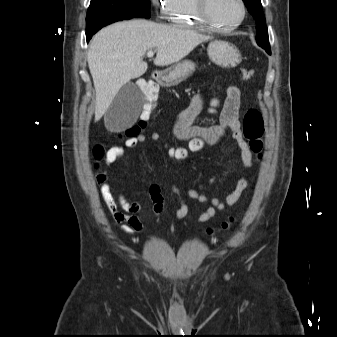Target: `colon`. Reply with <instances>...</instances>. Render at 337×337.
<instances>
[{"label":"colon","mask_w":337,"mask_h":337,"mask_svg":"<svg viewBox=\"0 0 337 337\" xmlns=\"http://www.w3.org/2000/svg\"><path fill=\"white\" fill-rule=\"evenodd\" d=\"M242 78L246 81L251 80L254 77V71L251 68H243L241 70ZM141 98H143L144 106L141 107L140 121L126 129L124 135L128 138L135 137L140 134L141 130L147 125V120L153 118V113H156V98H158V91H156L155 86L150 84H141L140 85ZM211 101H217L218 95L211 94ZM211 116L217 115L216 109L210 110ZM263 134H264V121L261 112L256 108L249 109L243 118V135L245 140L248 142L250 149L261 155L264 143H263ZM203 146L202 140H191L189 145L190 151H199L200 147ZM161 151H167L168 156H173L174 161H179L180 156L182 155L181 149H175L174 144H161ZM104 149L102 146L97 145L94 148V155L96 158H100L103 155ZM234 224V218H230L228 221H225L221 224L218 231H228ZM215 229H208L209 234H214Z\"/></svg>","instance_id":"5ec220e1"}]
</instances>
